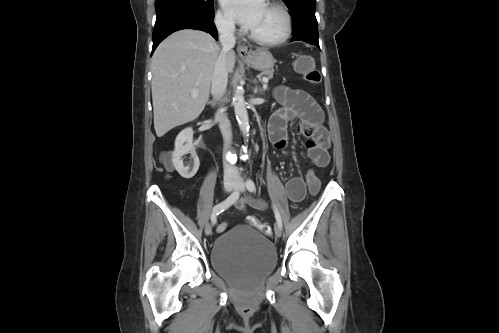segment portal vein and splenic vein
I'll list each match as a JSON object with an SVG mask.
<instances>
[{"label":"portal vein and splenic vein","instance_id":"obj_1","mask_svg":"<svg viewBox=\"0 0 499 333\" xmlns=\"http://www.w3.org/2000/svg\"><path fill=\"white\" fill-rule=\"evenodd\" d=\"M263 81H264L265 83H267V82H268V79L263 78ZM264 88H266V85H264ZM191 96H192V97H196V96H197V90H195V89H194V90L192 91Z\"/></svg>","mask_w":499,"mask_h":333}]
</instances>
